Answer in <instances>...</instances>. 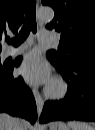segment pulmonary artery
Wrapping results in <instances>:
<instances>
[{"mask_svg": "<svg viewBox=\"0 0 95 130\" xmlns=\"http://www.w3.org/2000/svg\"><path fill=\"white\" fill-rule=\"evenodd\" d=\"M38 41L41 43L56 42L57 37L55 33L51 31L43 30L39 33ZM26 48H27L26 44H22L17 47H9L4 51V56L8 57V56H14V55L20 54L23 51H25Z\"/></svg>", "mask_w": 95, "mask_h": 130, "instance_id": "1", "label": "pulmonary artery"}]
</instances>
